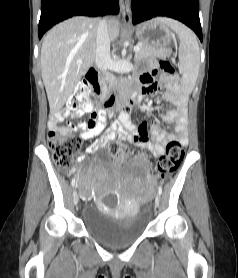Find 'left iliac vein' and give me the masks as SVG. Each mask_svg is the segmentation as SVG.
I'll return each instance as SVG.
<instances>
[{"mask_svg": "<svg viewBox=\"0 0 238 278\" xmlns=\"http://www.w3.org/2000/svg\"><path fill=\"white\" fill-rule=\"evenodd\" d=\"M160 203V196L157 194L155 197V205L158 207Z\"/></svg>", "mask_w": 238, "mask_h": 278, "instance_id": "4c4485c4", "label": "left iliac vein"}]
</instances>
